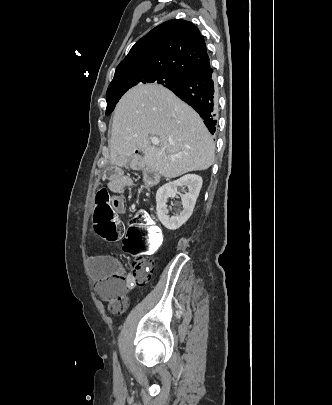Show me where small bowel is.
<instances>
[{
	"instance_id": "small-bowel-1",
	"label": "small bowel",
	"mask_w": 332,
	"mask_h": 405,
	"mask_svg": "<svg viewBox=\"0 0 332 405\" xmlns=\"http://www.w3.org/2000/svg\"><path fill=\"white\" fill-rule=\"evenodd\" d=\"M114 167L104 168L103 175L104 177H121L119 180H111L109 187L113 191L111 194L113 211L117 215H125L127 213V208L125 207L126 194L121 191L129 185L130 179L126 176L125 168H116V165ZM87 259L93 275L100 280L121 268L119 261L112 255H89Z\"/></svg>"
}]
</instances>
